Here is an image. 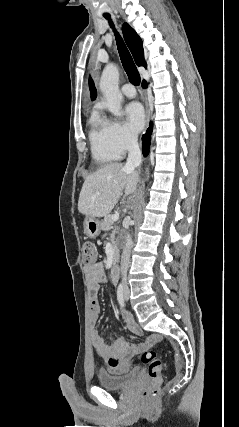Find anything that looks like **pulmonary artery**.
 <instances>
[{
    "label": "pulmonary artery",
    "mask_w": 239,
    "mask_h": 427,
    "mask_svg": "<svg viewBox=\"0 0 239 427\" xmlns=\"http://www.w3.org/2000/svg\"><path fill=\"white\" fill-rule=\"evenodd\" d=\"M122 92L125 96L133 98L136 95L135 88L132 84L127 83L122 86Z\"/></svg>",
    "instance_id": "e3ab8cb5"
}]
</instances>
